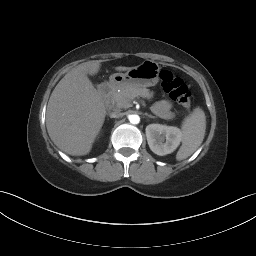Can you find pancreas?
I'll return each instance as SVG.
<instances>
[{"label":"pancreas","instance_id":"1","mask_svg":"<svg viewBox=\"0 0 256 256\" xmlns=\"http://www.w3.org/2000/svg\"><path fill=\"white\" fill-rule=\"evenodd\" d=\"M153 94V92L146 88L126 87L120 91L114 92L111 96V101L117 108H129L136 97L150 100Z\"/></svg>","mask_w":256,"mask_h":256}]
</instances>
